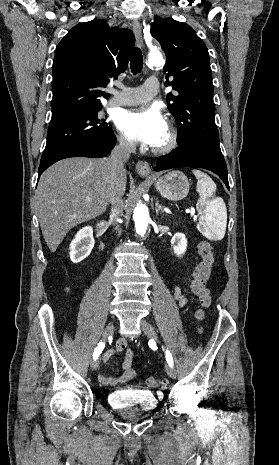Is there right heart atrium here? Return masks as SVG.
Returning <instances> with one entry per match:
<instances>
[{
    "mask_svg": "<svg viewBox=\"0 0 279 465\" xmlns=\"http://www.w3.org/2000/svg\"><path fill=\"white\" fill-rule=\"evenodd\" d=\"M118 141L121 147L125 149H131L133 147V143L130 139H128L126 136L123 134H120L118 137Z\"/></svg>",
    "mask_w": 279,
    "mask_h": 465,
    "instance_id": "right-heart-atrium-1",
    "label": "right heart atrium"
}]
</instances>
